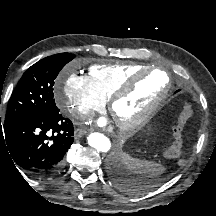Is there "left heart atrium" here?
<instances>
[{
    "mask_svg": "<svg viewBox=\"0 0 216 216\" xmlns=\"http://www.w3.org/2000/svg\"><path fill=\"white\" fill-rule=\"evenodd\" d=\"M100 124H101V125H104V124H105V121H104V120H100Z\"/></svg>",
    "mask_w": 216,
    "mask_h": 216,
    "instance_id": "left-heart-atrium-1",
    "label": "left heart atrium"
}]
</instances>
